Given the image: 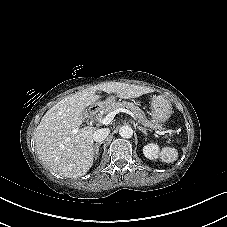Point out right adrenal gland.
Returning <instances> with one entry per match:
<instances>
[{"mask_svg": "<svg viewBox=\"0 0 227 227\" xmlns=\"http://www.w3.org/2000/svg\"><path fill=\"white\" fill-rule=\"evenodd\" d=\"M102 145V142H99V143H95V145L93 146V152H94V155H95V159L99 158V148L100 146Z\"/></svg>", "mask_w": 227, "mask_h": 227, "instance_id": "2a0ac1e0", "label": "right adrenal gland"}]
</instances>
